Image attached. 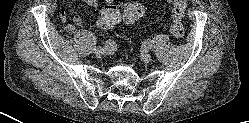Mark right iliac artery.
Listing matches in <instances>:
<instances>
[{"instance_id":"82829eb1","label":"right iliac artery","mask_w":249,"mask_h":123,"mask_svg":"<svg viewBox=\"0 0 249 123\" xmlns=\"http://www.w3.org/2000/svg\"><path fill=\"white\" fill-rule=\"evenodd\" d=\"M113 46V43L111 40H107L104 44L105 49H110Z\"/></svg>"}]
</instances>
